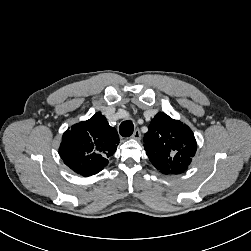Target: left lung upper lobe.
<instances>
[{
  "label": "left lung upper lobe",
  "mask_w": 251,
  "mask_h": 251,
  "mask_svg": "<svg viewBox=\"0 0 251 251\" xmlns=\"http://www.w3.org/2000/svg\"><path fill=\"white\" fill-rule=\"evenodd\" d=\"M144 149L157 169L165 174H179L190 164L196 140L187 125L158 113L144 135Z\"/></svg>",
  "instance_id": "left-lung-upper-lobe-1"
}]
</instances>
